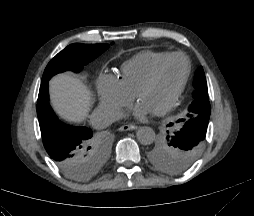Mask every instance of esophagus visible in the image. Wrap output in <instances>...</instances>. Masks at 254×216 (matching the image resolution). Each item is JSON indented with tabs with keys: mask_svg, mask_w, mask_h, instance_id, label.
<instances>
[{
	"mask_svg": "<svg viewBox=\"0 0 254 216\" xmlns=\"http://www.w3.org/2000/svg\"><path fill=\"white\" fill-rule=\"evenodd\" d=\"M138 127L136 125L133 124H126V125H122L119 127V131H131V130H136Z\"/></svg>",
	"mask_w": 254,
	"mask_h": 216,
	"instance_id": "esophagus-1",
	"label": "esophagus"
}]
</instances>
